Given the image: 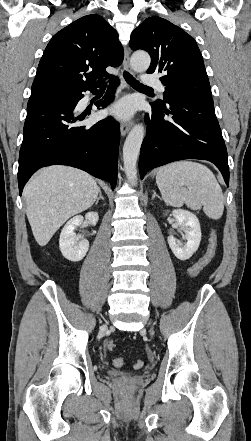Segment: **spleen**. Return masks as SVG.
Here are the masks:
<instances>
[{"label":"spleen","instance_id":"1","mask_svg":"<svg viewBox=\"0 0 251 441\" xmlns=\"http://www.w3.org/2000/svg\"><path fill=\"white\" fill-rule=\"evenodd\" d=\"M156 183L167 205L190 208L203 206L211 219L221 218L224 210L222 189L212 171L193 161H177L161 167Z\"/></svg>","mask_w":251,"mask_h":441}]
</instances>
